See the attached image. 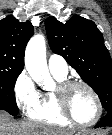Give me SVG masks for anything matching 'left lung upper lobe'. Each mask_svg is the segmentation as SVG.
Here are the masks:
<instances>
[{"mask_svg":"<svg viewBox=\"0 0 112 135\" xmlns=\"http://www.w3.org/2000/svg\"><path fill=\"white\" fill-rule=\"evenodd\" d=\"M45 26L52 51L65 58L97 93L106 112H112V61L95 23L79 15L66 23L51 16Z\"/></svg>","mask_w":112,"mask_h":135,"instance_id":"1","label":"left lung upper lobe"}]
</instances>
